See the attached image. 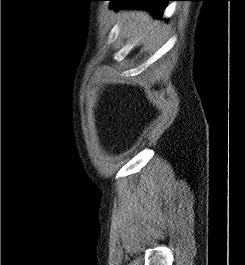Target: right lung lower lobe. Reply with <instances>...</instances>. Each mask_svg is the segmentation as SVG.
Segmentation results:
<instances>
[{
  "label": "right lung lower lobe",
  "instance_id": "right-lung-lower-lobe-1",
  "mask_svg": "<svg viewBox=\"0 0 245 265\" xmlns=\"http://www.w3.org/2000/svg\"><path fill=\"white\" fill-rule=\"evenodd\" d=\"M111 8L118 9L124 6L148 9L154 16L160 17L166 6V2L170 0H110Z\"/></svg>",
  "mask_w": 245,
  "mask_h": 265
}]
</instances>
